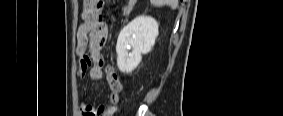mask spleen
<instances>
[{
  "label": "spleen",
  "instance_id": "3e777b00",
  "mask_svg": "<svg viewBox=\"0 0 283 116\" xmlns=\"http://www.w3.org/2000/svg\"><path fill=\"white\" fill-rule=\"evenodd\" d=\"M151 4L158 7L169 5L173 10L177 7L176 2L170 0H151Z\"/></svg>",
  "mask_w": 283,
  "mask_h": 116
}]
</instances>
